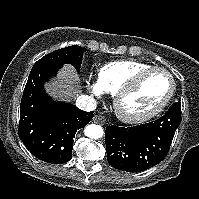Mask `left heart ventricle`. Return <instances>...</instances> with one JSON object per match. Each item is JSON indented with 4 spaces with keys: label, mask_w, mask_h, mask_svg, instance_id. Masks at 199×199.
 <instances>
[{
    "label": "left heart ventricle",
    "mask_w": 199,
    "mask_h": 199,
    "mask_svg": "<svg viewBox=\"0 0 199 199\" xmlns=\"http://www.w3.org/2000/svg\"><path fill=\"white\" fill-rule=\"evenodd\" d=\"M171 81L164 73L145 76L138 87L122 101L123 109L130 114H140L155 108L168 94Z\"/></svg>",
    "instance_id": "b2bd125f"
}]
</instances>
